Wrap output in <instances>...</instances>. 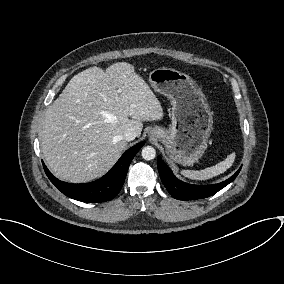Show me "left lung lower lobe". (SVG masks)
Returning a JSON list of instances; mask_svg holds the SVG:
<instances>
[{
	"label": "left lung lower lobe",
	"mask_w": 284,
	"mask_h": 284,
	"mask_svg": "<svg viewBox=\"0 0 284 284\" xmlns=\"http://www.w3.org/2000/svg\"><path fill=\"white\" fill-rule=\"evenodd\" d=\"M157 167L161 177V180L168 190V192L174 198L178 200H194L203 199L214 195L222 188L231 183L239 174L241 168L229 179L213 185H191L178 180L163 160L158 156Z\"/></svg>",
	"instance_id": "obj_1"
}]
</instances>
